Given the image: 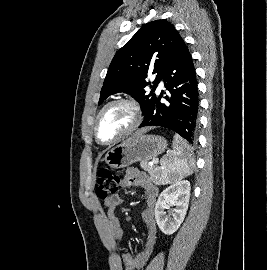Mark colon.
I'll return each mask as SVG.
<instances>
[{
	"label": "colon",
	"mask_w": 267,
	"mask_h": 270,
	"mask_svg": "<svg viewBox=\"0 0 267 270\" xmlns=\"http://www.w3.org/2000/svg\"><path fill=\"white\" fill-rule=\"evenodd\" d=\"M120 187V178L108 167L102 168L97 173L96 195L102 200H106L115 195ZM128 270H132L131 267Z\"/></svg>",
	"instance_id": "colon-1"
}]
</instances>
